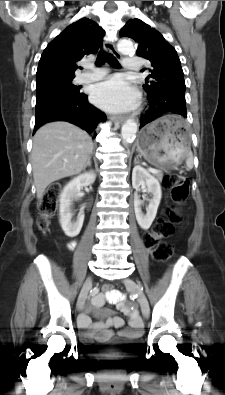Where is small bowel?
<instances>
[{
	"instance_id": "1",
	"label": "small bowel",
	"mask_w": 225,
	"mask_h": 395,
	"mask_svg": "<svg viewBox=\"0 0 225 395\" xmlns=\"http://www.w3.org/2000/svg\"><path fill=\"white\" fill-rule=\"evenodd\" d=\"M71 245L73 246L74 243ZM105 300L115 304L125 315H127L129 319V328L121 331L123 336H135L141 332L142 325L137 311L125 302L123 296L119 292L112 290V292L97 294L93 298V306L101 307ZM123 325L124 320L118 316H111L104 321L96 323H92L88 313L81 315L79 318V326L84 330L83 336L85 338L95 337L99 340H106L112 335L109 327L121 328Z\"/></svg>"
}]
</instances>
